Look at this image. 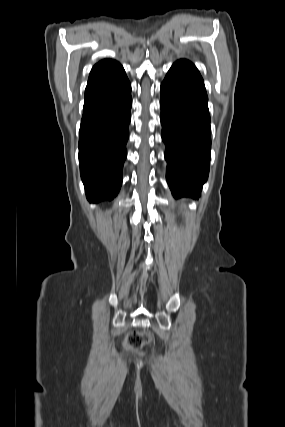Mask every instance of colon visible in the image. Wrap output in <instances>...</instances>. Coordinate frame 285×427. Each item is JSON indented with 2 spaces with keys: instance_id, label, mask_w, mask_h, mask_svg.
<instances>
[{
  "instance_id": "5ec220e1",
  "label": "colon",
  "mask_w": 285,
  "mask_h": 427,
  "mask_svg": "<svg viewBox=\"0 0 285 427\" xmlns=\"http://www.w3.org/2000/svg\"><path fill=\"white\" fill-rule=\"evenodd\" d=\"M151 335L148 332L132 331L127 335L126 347L132 350H139L151 342Z\"/></svg>"
}]
</instances>
